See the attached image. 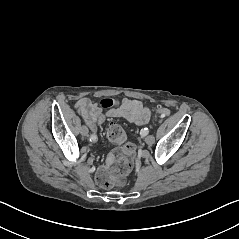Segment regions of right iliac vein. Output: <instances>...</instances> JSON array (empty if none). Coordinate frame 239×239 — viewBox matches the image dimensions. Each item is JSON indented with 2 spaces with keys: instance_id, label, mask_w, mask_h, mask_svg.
Returning <instances> with one entry per match:
<instances>
[{
  "instance_id": "right-iliac-vein-1",
  "label": "right iliac vein",
  "mask_w": 239,
  "mask_h": 239,
  "mask_svg": "<svg viewBox=\"0 0 239 239\" xmlns=\"http://www.w3.org/2000/svg\"><path fill=\"white\" fill-rule=\"evenodd\" d=\"M80 133L83 135V136H87L88 135V128L86 126H82L81 129H80Z\"/></svg>"
}]
</instances>
